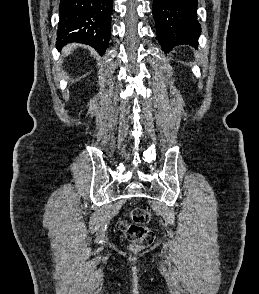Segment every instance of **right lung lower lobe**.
Returning a JSON list of instances; mask_svg holds the SVG:
<instances>
[{
	"label": "right lung lower lobe",
	"instance_id": "obj_1",
	"mask_svg": "<svg viewBox=\"0 0 259 294\" xmlns=\"http://www.w3.org/2000/svg\"><path fill=\"white\" fill-rule=\"evenodd\" d=\"M112 0H61L57 48L78 42L103 54L109 43Z\"/></svg>",
	"mask_w": 259,
	"mask_h": 294
}]
</instances>
